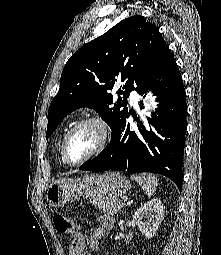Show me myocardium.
Segmentation results:
<instances>
[{
    "label": "myocardium",
    "instance_id": "obj_1",
    "mask_svg": "<svg viewBox=\"0 0 221 255\" xmlns=\"http://www.w3.org/2000/svg\"><path fill=\"white\" fill-rule=\"evenodd\" d=\"M87 125H93L95 127L98 128L99 133H100V140L99 143L97 145V147L86 157H84L83 159L76 161V162H71L68 159L67 156V145L68 142L71 138V136L80 128L87 126ZM110 135H111V131H110V127L108 125V123L101 117V116H89L86 117L82 120H80L79 122H77L75 125H73L69 131L66 133L63 142H62V146H61V157L62 160L65 164L69 165V166H80L84 163H86L87 161L93 159L94 157L98 156L107 146L109 139H110Z\"/></svg>",
    "mask_w": 221,
    "mask_h": 255
}]
</instances>
